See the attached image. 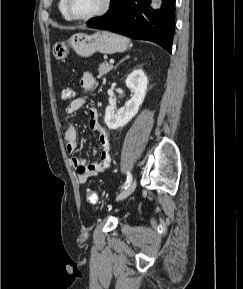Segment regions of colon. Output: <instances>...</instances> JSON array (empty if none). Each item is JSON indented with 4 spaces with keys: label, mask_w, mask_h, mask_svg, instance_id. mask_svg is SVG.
Wrapping results in <instances>:
<instances>
[{
    "label": "colon",
    "mask_w": 243,
    "mask_h": 289,
    "mask_svg": "<svg viewBox=\"0 0 243 289\" xmlns=\"http://www.w3.org/2000/svg\"><path fill=\"white\" fill-rule=\"evenodd\" d=\"M72 95L73 92L70 87L65 86L61 89V99L63 101L70 100L72 98ZM86 199L89 204L96 205L98 203V197L96 193L90 189L86 193Z\"/></svg>",
    "instance_id": "obj_1"
}]
</instances>
